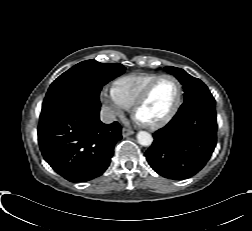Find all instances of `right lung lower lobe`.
<instances>
[{"mask_svg":"<svg viewBox=\"0 0 252 231\" xmlns=\"http://www.w3.org/2000/svg\"><path fill=\"white\" fill-rule=\"evenodd\" d=\"M100 105L67 100L42 109L38 141L46 162L71 182L100 176L122 138L117 122L99 119Z\"/></svg>","mask_w":252,"mask_h":231,"instance_id":"1","label":"right lung lower lobe"}]
</instances>
